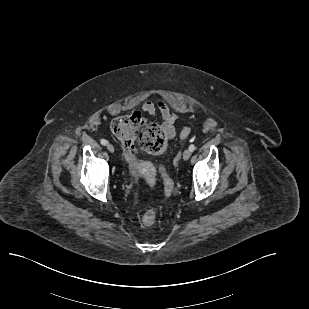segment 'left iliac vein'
Instances as JSON below:
<instances>
[{"label":"left iliac vein","mask_w":309,"mask_h":309,"mask_svg":"<svg viewBox=\"0 0 309 309\" xmlns=\"http://www.w3.org/2000/svg\"><path fill=\"white\" fill-rule=\"evenodd\" d=\"M190 156H191V151L190 150H185L184 152H183V159L184 160H188L189 158H190Z\"/></svg>","instance_id":"1"}]
</instances>
